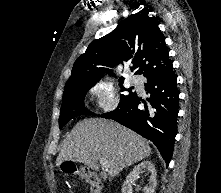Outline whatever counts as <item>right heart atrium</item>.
I'll use <instances>...</instances> for the list:
<instances>
[{"mask_svg": "<svg viewBox=\"0 0 221 193\" xmlns=\"http://www.w3.org/2000/svg\"><path fill=\"white\" fill-rule=\"evenodd\" d=\"M89 96L96 108L102 113H110L120 105V96L112 86L98 84L89 90Z\"/></svg>", "mask_w": 221, "mask_h": 193, "instance_id": "obj_1", "label": "right heart atrium"}]
</instances>
